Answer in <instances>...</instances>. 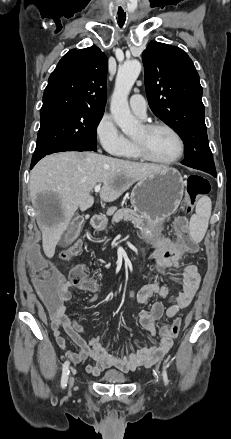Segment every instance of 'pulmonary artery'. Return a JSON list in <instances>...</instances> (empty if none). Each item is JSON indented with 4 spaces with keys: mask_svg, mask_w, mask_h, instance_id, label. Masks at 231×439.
I'll list each match as a JSON object with an SVG mask.
<instances>
[{
    "mask_svg": "<svg viewBox=\"0 0 231 439\" xmlns=\"http://www.w3.org/2000/svg\"><path fill=\"white\" fill-rule=\"evenodd\" d=\"M130 108L132 112L138 116L141 119L146 118L147 114V103L144 97L140 94H134L131 96L130 101Z\"/></svg>",
    "mask_w": 231,
    "mask_h": 439,
    "instance_id": "obj_1",
    "label": "pulmonary artery"
}]
</instances>
